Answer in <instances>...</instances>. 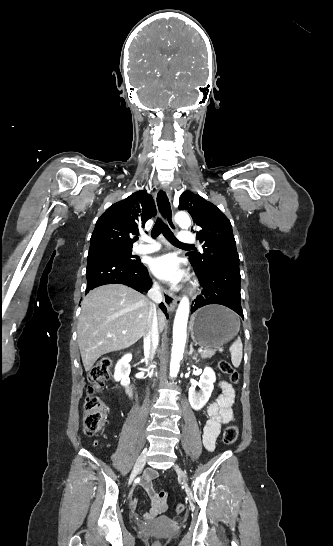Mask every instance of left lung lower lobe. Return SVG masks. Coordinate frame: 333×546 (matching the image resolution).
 Masks as SVG:
<instances>
[{"label": "left lung lower lobe", "mask_w": 333, "mask_h": 546, "mask_svg": "<svg viewBox=\"0 0 333 546\" xmlns=\"http://www.w3.org/2000/svg\"><path fill=\"white\" fill-rule=\"evenodd\" d=\"M197 276L202 293L192 303L191 313L205 305L220 304L244 317L241 308L239 267L220 268L207 275L197 273Z\"/></svg>", "instance_id": "obj_1"}]
</instances>
